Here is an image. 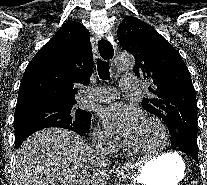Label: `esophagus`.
I'll return each mask as SVG.
<instances>
[{
    "mask_svg": "<svg viewBox=\"0 0 207 185\" xmlns=\"http://www.w3.org/2000/svg\"><path fill=\"white\" fill-rule=\"evenodd\" d=\"M100 38V40H99ZM107 38H108V33H99V37L96 38V42L93 46V50L95 53H98V42L99 43V48H114L115 44L114 43H107ZM101 55H115V50H101ZM112 57L111 56H102V61H111ZM119 164L121 163L120 161L118 162ZM123 166L117 167V171L119 172Z\"/></svg>",
    "mask_w": 207,
    "mask_h": 185,
    "instance_id": "1",
    "label": "esophagus"
}]
</instances>
